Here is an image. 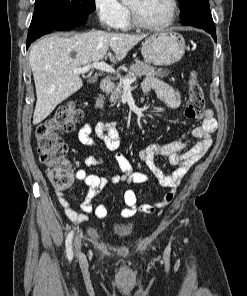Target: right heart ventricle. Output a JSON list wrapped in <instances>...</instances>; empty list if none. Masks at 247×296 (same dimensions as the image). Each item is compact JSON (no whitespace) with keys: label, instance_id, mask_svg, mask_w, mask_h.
<instances>
[{"label":"right heart ventricle","instance_id":"1","mask_svg":"<svg viewBox=\"0 0 247 296\" xmlns=\"http://www.w3.org/2000/svg\"><path fill=\"white\" fill-rule=\"evenodd\" d=\"M130 26H131V24H130V21H129L128 17H127L120 27L122 29H129Z\"/></svg>","mask_w":247,"mask_h":296}]
</instances>
